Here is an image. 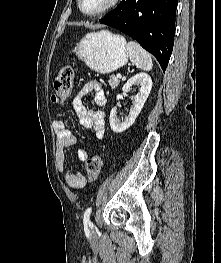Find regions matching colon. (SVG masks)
Listing matches in <instances>:
<instances>
[{
  "instance_id": "obj_1",
  "label": "colon",
  "mask_w": 221,
  "mask_h": 263,
  "mask_svg": "<svg viewBox=\"0 0 221 263\" xmlns=\"http://www.w3.org/2000/svg\"><path fill=\"white\" fill-rule=\"evenodd\" d=\"M73 87V69L69 65L63 66L55 79L52 101L56 104L64 103L71 95ZM103 161L99 155L87 158L85 166L89 181H95L102 169Z\"/></svg>"
}]
</instances>
